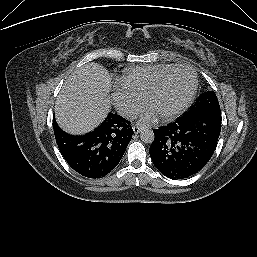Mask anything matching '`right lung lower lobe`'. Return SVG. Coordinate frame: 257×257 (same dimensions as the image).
I'll return each mask as SVG.
<instances>
[{"mask_svg": "<svg viewBox=\"0 0 257 257\" xmlns=\"http://www.w3.org/2000/svg\"><path fill=\"white\" fill-rule=\"evenodd\" d=\"M130 124L123 117L109 113L93 132L74 136L53 121L56 142L64 159L88 178H102L118 165L133 135Z\"/></svg>", "mask_w": 257, "mask_h": 257, "instance_id": "right-lung-lower-lobe-1", "label": "right lung lower lobe"}]
</instances>
